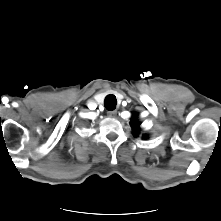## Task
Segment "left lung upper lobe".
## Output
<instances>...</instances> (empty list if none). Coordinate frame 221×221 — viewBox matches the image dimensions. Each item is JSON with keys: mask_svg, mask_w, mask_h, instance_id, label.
<instances>
[{"mask_svg": "<svg viewBox=\"0 0 221 221\" xmlns=\"http://www.w3.org/2000/svg\"><path fill=\"white\" fill-rule=\"evenodd\" d=\"M131 124H132L134 135L138 136V134L140 133V123L137 121V113H134L132 120H131Z\"/></svg>", "mask_w": 221, "mask_h": 221, "instance_id": "obj_1", "label": "left lung upper lobe"}]
</instances>
